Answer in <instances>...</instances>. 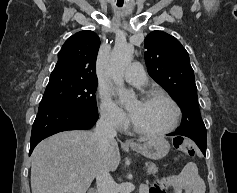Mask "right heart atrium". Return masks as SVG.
<instances>
[{"label": "right heart atrium", "mask_w": 237, "mask_h": 193, "mask_svg": "<svg viewBox=\"0 0 237 193\" xmlns=\"http://www.w3.org/2000/svg\"><path fill=\"white\" fill-rule=\"evenodd\" d=\"M99 112L102 120L116 129H124L127 125V117L124 111L114 102L107 90L99 91Z\"/></svg>", "instance_id": "1"}]
</instances>
